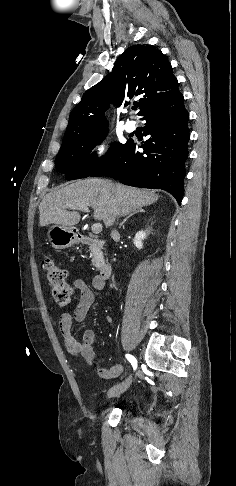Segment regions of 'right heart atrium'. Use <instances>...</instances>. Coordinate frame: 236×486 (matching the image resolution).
Instances as JSON below:
<instances>
[{"label":"right heart atrium","mask_w":236,"mask_h":486,"mask_svg":"<svg viewBox=\"0 0 236 486\" xmlns=\"http://www.w3.org/2000/svg\"><path fill=\"white\" fill-rule=\"evenodd\" d=\"M107 152L108 144L105 141H99L93 146L90 155L93 159H100L104 157Z\"/></svg>","instance_id":"1"}]
</instances>
